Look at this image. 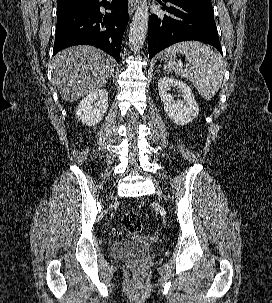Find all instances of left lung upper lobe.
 Wrapping results in <instances>:
<instances>
[{
  "mask_svg": "<svg viewBox=\"0 0 272 303\" xmlns=\"http://www.w3.org/2000/svg\"><path fill=\"white\" fill-rule=\"evenodd\" d=\"M166 2H192L199 4H211V0H164Z\"/></svg>",
  "mask_w": 272,
  "mask_h": 303,
  "instance_id": "obj_1",
  "label": "left lung upper lobe"
}]
</instances>
